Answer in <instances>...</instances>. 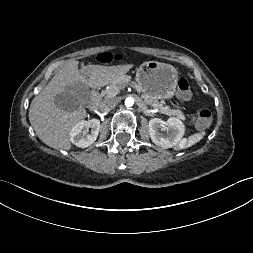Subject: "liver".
I'll return each instance as SVG.
<instances>
[{"mask_svg": "<svg viewBox=\"0 0 253 253\" xmlns=\"http://www.w3.org/2000/svg\"><path fill=\"white\" fill-rule=\"evenodd\" d=\"M70 61L64 65L36 95L29 108V121L39 139L55 149H71L70 132L86 116V109L79 104L74 111L55 105L56 94L66 92L78 83L96 89L117 82L129 66L82 65Z\"/></svg>", "mask_w": 253, "mask_h": 253, "instance_id": "liver-1", "label": "liver"}]
</instances>
